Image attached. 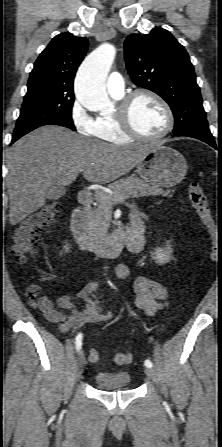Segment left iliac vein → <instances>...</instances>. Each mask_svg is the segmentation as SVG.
<instances>
[{
	"label": "left iliac vein",
	"instance_id": "1",
	"mask_svg": "<svg viewBox=\"0 0 222 447\" xmlns=\"http://www.w3.org/2000/svg\"><path fill=\"white\" fill-rule=\"evenodd\" d=\"M144 371H145V374L152 380V381H154L155 383H157V376H156V373H155V371L152 369V368H149V367H146L145 369H144Z\"/></svg>",
	"mask_w": 222,
	"mask_h": 447
}]
</instances>
